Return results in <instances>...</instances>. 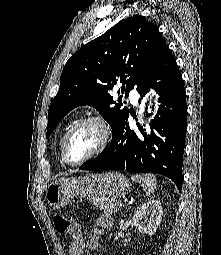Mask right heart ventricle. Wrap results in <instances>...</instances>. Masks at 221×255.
<instances>
[{
  "label": "right heart ventricle",
  "instance_id": "1",
  "mask_svg": "<svg viewBox=\"0 0 221 255\" xmlns=\"http://www.w3.org/2000/svg\"><path fill=\"white\" fill-rule=\"evenodd\" d=\"M71 122H69L66 127L64 128L62 134H61V137H60V152H61V147H62V143H63V140H64V137L66 135V133L68 132V130L70 129L71 127Z\"/></svg>",
  "mask_w": 221,
  "mask_h": 255
}]
</instances>
